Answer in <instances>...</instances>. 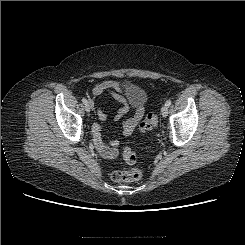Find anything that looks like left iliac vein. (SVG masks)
<instances>
[{
    "instance_id": "1",
    "label": "left iliac vein",
    "mask_w": 245,
    "mask_h": 245,
    "mask_svg": "<svg viewBox=\"0 0 245 245\" xmlns=\"http://www.w3.org/2000/svg\"><path fill=\"white\" fill-rule=\"evenodd\" d=\"M161 115L163 117H166L168 115V107L166 105H164L161 109Z\"/></svg>"
}]
</instances>
